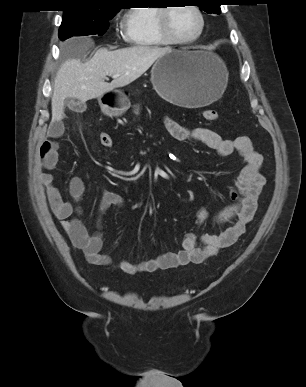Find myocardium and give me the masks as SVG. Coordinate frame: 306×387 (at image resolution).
<instances>
[{
    "instance_id": "1",
    "label": "myocardium",
    "mask_w": 306,
    "mask_h": 387,
    "mask_svg": "<svg viewBox=\"0 0 306 387\" xmlns=\"http://www.w3.org/2000/svg\"><path fill=\"white\" fill-rule=\"evenodd\" d=\"M192 10L196 12V14L199 17L200 26L198 29V32L191 38L188 39H181L176 37L170 26V15L172 10L175 8L173 6H165L159 9L158 12V30L161 35V37L168 43V44H175V45H189L192 43H195L199 38L202 36L204 30H205V16L200 9L199 6L190 4L187 5Z\"/></svg>"
}]
</instances>
